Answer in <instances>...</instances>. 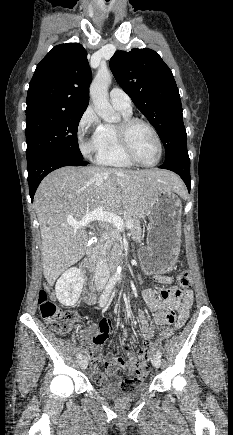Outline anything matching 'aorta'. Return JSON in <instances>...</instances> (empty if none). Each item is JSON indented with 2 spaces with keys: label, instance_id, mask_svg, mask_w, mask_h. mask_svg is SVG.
Instances as JSON below:
<instances>
[{
  "label": "aorta",
  "instance_id": "aorta-1",
  "mask_svg": "<svg viewBox=\"0 0 233 435\" xmlns=\"http://www.w3.org/2000/svg\"><path fill=\"white\" fill-rule=\"evenodd\" d=\"M111 80L110 71L106 68H100L90 86V98L95 112L106 122H115L119 119L108 99V87ZM114 278L121 279V267L117 268Z\"/></svg>",
  "mask_w": 233,
  "mask_h": 435
}]
</instances>
